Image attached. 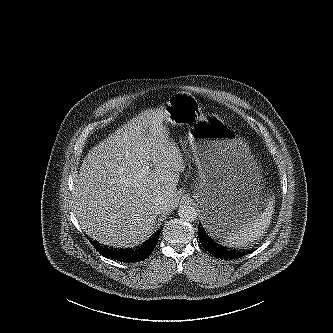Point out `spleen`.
<instances>
[{"instance_id": "1", "label": "spleen", "mask_w": 333, "mask_h": 333, "mask_svg": "<svg viewBox=\"0 0 333 333\" xmlns=\"http://www.w3.org/2000/svg\"><path fill=\"white\" fill-rule=\"evenodd\" d=\"M273 210L274 197L271 196L264 211L224 235L223 244L229 247H245L260 238L271 222Z\"/></svg>"}]
</instances>
